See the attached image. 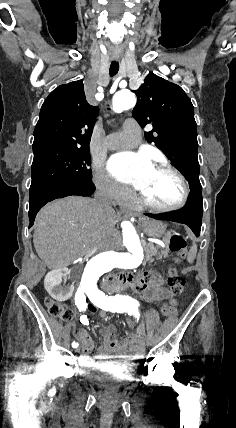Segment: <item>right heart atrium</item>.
<instances>
[{"mask_svg": "<svg viewBox=\"0 0 236 428\" xmlns=\"http://www.w3.org/2000/svg\"><path fill=\"white\" fill-rule=\"evenodd\" d=\"M92 182L97 192L105 200H113L114 205H121L132 197V193L116 183L102 167L95 169Z\"/></svg>", "mask_w": 236, "mask_h": 428, "instance_id": "right-heart-atrium-1", "label": "right heart atrium"}]
</instances>
